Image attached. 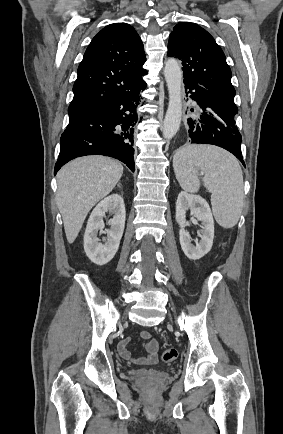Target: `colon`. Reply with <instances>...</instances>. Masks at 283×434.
Here are the masks:
<instances>
[{"label":"colon","mask_w":283,"mask_h":434,"mask_svg":"<svg viewBox=\"0 0 283 434\" xmlns=\"http://www.w3.org/2000/svg\"><path fill=\"white\" fill-rule=\"evenodd\" d=\"M178 352L175 349H167L162 354V359L164 362L170 363L176 360Z\"/></svg>","instance_id":"obj_1"}]
</instances>
